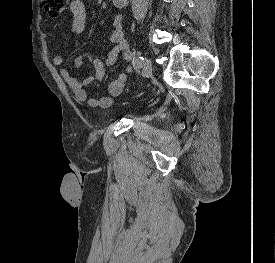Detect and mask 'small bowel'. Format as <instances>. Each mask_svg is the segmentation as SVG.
<instances>
[{"label": "small bowel", "mask_w": 275, "mask_h": 263, "mask_svg": "<svg viewBox=\"0 0 275 263\" xmlns=\"http://www.w3.org/2000/svg\"><path fill=\"white\" fill-rule=\"evenodd\" d=\"M87 23V7L81 0H72L70 3V16L66 20V27L75 34H82L85 31ZM114 29L108 36V41L113 44V48L107 55L105 63L90 53L79 54L73 61L75 68H80L84 61H88L93 68L94 74L87 76L83 81L76 79L66 68L61 67L63 63L62 54L57 51L52 56V63L60 67L59 73L62 79L71 89L74 98L79 102H87L93 108H109L113 104L114 98L121 95L127 75L132 72L133 55L129 49L128 41L124 36V28L120 16H116L113 22ZM121 57L125 64L124 73L120 74L108 86V95L101 98H89L85 86L101 81L106 68L112 67Z\"/></svg>", "instance_id": "1"}]
</instances>
